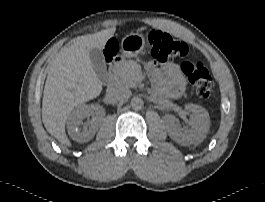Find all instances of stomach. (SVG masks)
<instances>
[{"instance_id":"obj_1","label":"stomach","mask_w":265,"mask_h":202,"mask_svg":"<svg viewBox=\"0 0 265 202\" xmlns=\"http://www.w3.org/2000/svg\"><path fill=\"white\" fill-rule=\"evenodd\" d=\"M145 46V37L140 33L126 35L120 44L122 56L125 58L137 56L144 50Z\"/></svg>"}]
</instances>
